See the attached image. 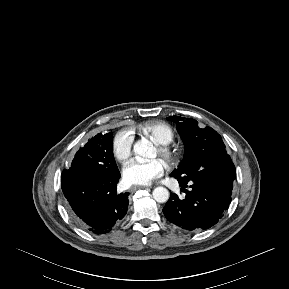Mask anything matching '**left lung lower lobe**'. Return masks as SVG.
<instances>
[{"mask_svg":"<svg viewBox=\"0 0 289 289\" xmlns=\"http://www.w3.org/2000/svg\"><path fill=\"white\" fill-rule=\"evenodd\" d=\"M172 176V174H171ZM180 186L187 187L179 181ZM191 190L184 199L175 193L163 208L167 220L182 229L193 231L215 225L228 209L232 191L206 182H191Z\"/></svg>","mask_w":289,"mask_h":289,"instance_id":"0a47b994","label":"left lung lower lobe"}]
</instances>
